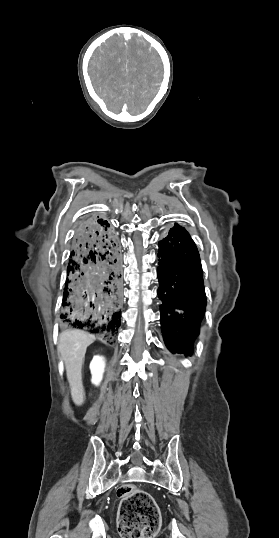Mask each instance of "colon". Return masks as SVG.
I'll use <instances>...</instances> for the list:
<instances>
[{"label":"colon","mask_w":279,"mask_h":538,"mask_svg":"<svg viewBox=\"0 0 279 538\" xmlns=\"http://www.w3.org/2000/svg\"><path fill=\"white\" fill-rule=\"evenodd\" d=\"M121 498L118 528L124 538H153L160 527V512L147 492L125 484L118 490Z\"/></svg>","instance_id":"1"}]
</instances>
